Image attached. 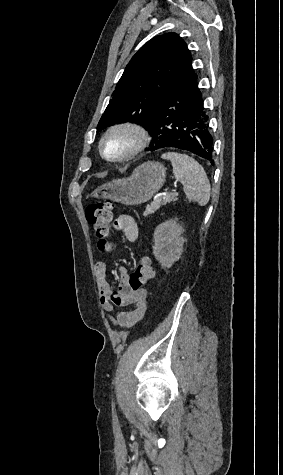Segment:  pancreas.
I'll list each match as a JSON object with an SVG mask.
<instances>
[{"mask_svg": "<svg viewBox=\"0 0 283 475\" xmlns=\"http://www.w3.org/2000/svg\"><path fill=\"white\" fill-rule=\"evenodd\" d=\"M178 198L174 196V194H167V196H160V198H157V200H154V202H151V204H148L146 206V210L143 214V216H149V214H154L156 210H159L160 206H165V204H169V202H176Z\"/></svg>", "mask_w": 283, "mask_h": 475, "instance_id": "1", "label": "pancreas"}]
</instances>
